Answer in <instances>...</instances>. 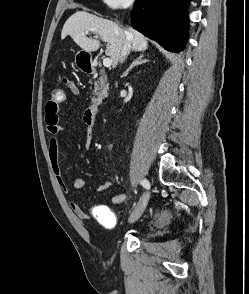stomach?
<instances>
[{
    "label": "stomach",
    "instance_id": "stomach-1",
    "mask_svg": "<svg viewBox=\"0 0 249 294\" xmlns=\"http://www.w3.org/2000/svg\"><path fill=\"white\" fill-rule=\"evenodd\" d=\"M77 57H76V64L78 65L79 63H80V59L81 58H87V59H90V54L89 53H87V52H79V53H77V55H76Z\"/></svg>",
    "mask_w": 249,
    "mask_h": 294
}]
</instances>
